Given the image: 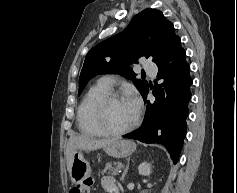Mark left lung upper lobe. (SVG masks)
Returning <instances> with one entry per match:
<instances>
[{
    "label": "left lung upper lobe",
    "instance_id": "5c2ea615",
    "mask_svg": "<svg viewBox=\"0 0 237 193\" xmlns=\"http://www.w3.org/2000/svg\"><path fill=\"white\" fill-rule=\"evenodd\" d=\"M178 39L173 24L164 18L161 11L145 9L134 16L123 32L88 52L81 70L78 92L95 75L117 72L133 80L142 95L148 82L136 79L129 65L137 63L141 56L152 57L157 64Z\"/></svg>",
    "mask_w": 237,
    "mask_h": 193
}]
</instances>
